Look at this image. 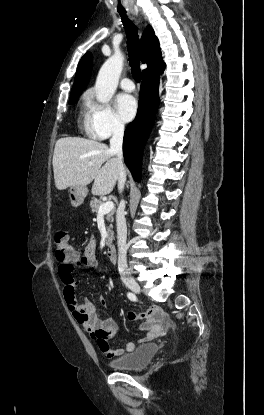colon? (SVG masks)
<instances>
[{"instance_id": "1", "label": "colon", "mask_w": 264, "mask_h": 415, "mask_svg": "<svg viewBox=\"0 0 264 415\" xmlns=\"http://www.w3.org/2000/svg\"><path fill=\"white\" fill-rule=\"evenodd\" d=\"M56 243V260L60 264L61 269H67L71 262H76L82 258L72 243L70 234L67 231L60 230L55 234ZM68 301L74 299V289H68L66 293Z\"/></svg>"}]
</instances>
